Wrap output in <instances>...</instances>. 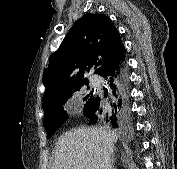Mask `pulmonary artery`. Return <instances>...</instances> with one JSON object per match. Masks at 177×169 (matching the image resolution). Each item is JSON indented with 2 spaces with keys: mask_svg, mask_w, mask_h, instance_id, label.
Returning a JSON list of instances; mask_svg holds the SVG:
<instances>
[{
  "mask_svg": "<svg viewBox=\"0 0 177 169\" xmlns=\"http://www.w3.org/2000/svg\"><path fill=\"white\" fill-rule=\"evenodd\" d=\"M92 82H93V84H98L99 80L98 79H93Z\"/></svg>",
  "mask_w": 177,
  "mask_h": 169,
  "instance_id": "pulmonary-artery-1",
  "label": "pulmonary artery"
}]
</instances>
